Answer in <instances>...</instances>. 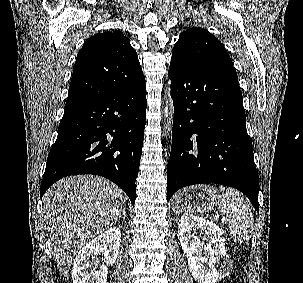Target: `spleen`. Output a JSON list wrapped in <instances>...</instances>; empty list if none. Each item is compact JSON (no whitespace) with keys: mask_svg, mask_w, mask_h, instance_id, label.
<instances>
[{"mask_svg":"<svg viewBox=\"0 0 303 283\" xmlns=\"http://www.w3.org/2000/svg\"><path fill=\"white\" fill-rule=\"evenodd\" d=\"M225 191L218 203L219 211L226 215L229 221V232L235 242H247L252 235L254 218L249 204L233 189L220 186Z\"/></svg>","mask_w":303,"mask_h":283,"instance_id":"spleen-1","label":"spleen"}]
</instances>
